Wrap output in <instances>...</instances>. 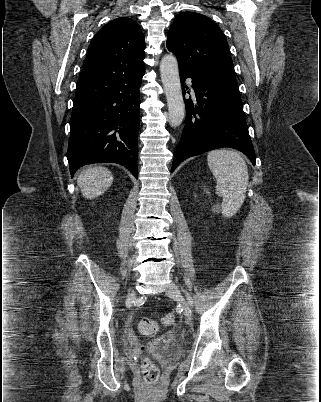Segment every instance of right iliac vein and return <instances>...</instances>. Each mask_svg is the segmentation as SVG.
<instances>
[{"label":"right iliac vein","instance_id":"1","mask_svg":"<svg viewBox=\"0 0 321 402\" xmlns=\"http://www.w3.org/2000/svg\"><path fill=\"white\" fill-rule=\"evenodd\" d=\"M133 296H134V292H131V294L129 295V297L127 299V302H130L131 299L133 298Z\"/></svg>","mask_w":321,"mask_h":402}]
</instances>
